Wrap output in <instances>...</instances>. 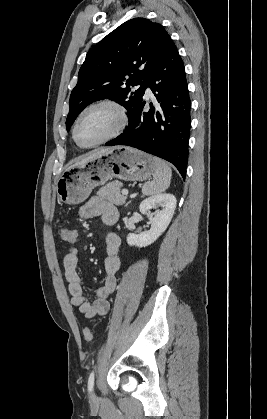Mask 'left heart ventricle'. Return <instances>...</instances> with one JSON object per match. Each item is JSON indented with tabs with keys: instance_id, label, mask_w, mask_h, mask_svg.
Returning <instances> with one entry per match:
<instances>
[{
	"instance_id": "1",
	"label": "left heart ventricle",
	"mask_w": 267,
	"mask_h": 419,
	"mask_svg": "<svg viewBox=\"0 0 267 419\" xmlns=\"http://www.w3.org/2000/svg\"><path fill=\"white\" fill-rule=\"evenodd\" d=\"M117 116L109 107H97L88 111L81 119L77 136L82 144H92L106 136L116 125Z\"/></svg>"
}]
</instances>
